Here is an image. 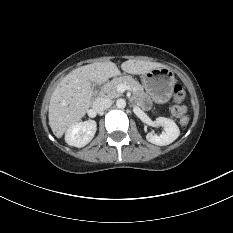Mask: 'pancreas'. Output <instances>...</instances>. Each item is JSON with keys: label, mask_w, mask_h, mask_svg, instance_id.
I'll list each match as a JSON object with an SVG mask.
<instances>
[{"label": "pancreas", "mask_w": 233, "mask_h": 233, "mask_svg": "<svg viewBox=\"0 0 233 233\" xmlns=\"http://www.w3.org/2000/svg\"><path fill=\"white\" fill-rule=\"evenodd\" d=\"M121 84L127 86L134 94L143 92V86L131 76L114 78L102 87L101 92L109 98H117L122 95V93L117 90V87Z\"/></svg>", "instance_id": "obj_1"}]
</instances>
